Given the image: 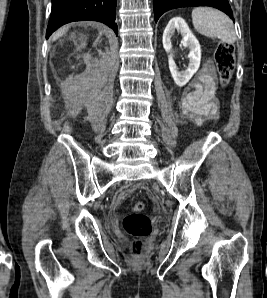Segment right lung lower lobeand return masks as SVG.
Listing matches in <instances>:
<instances>
[{
    "label": "right lung lower lobe",
    "mask_w": 267,
    "mask_h": 298,
    "mask_svg": "<svg viewBox=\"0 0 267 298\" xmlns=\"http://www.w3.org/2000/svg\"><path fill=\"white\" fill-rule=\"evenodd\" d=\"M117 0H52V11L47 27L48 38L60 26L74 21L94 20L117 32Z\"/></svg>",
    "instance_id": "right-lung-lower-lobe-1"
}]
</instances>
